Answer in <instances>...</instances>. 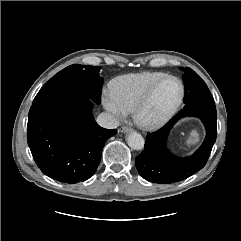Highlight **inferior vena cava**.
I'll list each match as a JSON object with an SVG mask.
<instances>
[{"label":"inferior vena cava","mask_w":241,"mask_h":241,"mask_svg":"<svg viewBox=\"0 0 241 241\" xmlns=\"http://www.w3.org/2000/svg\"><path fill=\"white\" fill-rule=\"evenodd\" d=\"M97 123L103 128L114 129L119 126L118 119L108 112H103L98 115Z\"/></svg>","instance_id":"inferior-vena-cava-1"}]
</instances>
